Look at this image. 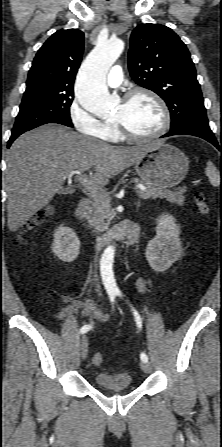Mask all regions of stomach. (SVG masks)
I'll return each instance as SVG.
<instances>
[{
	"label": "stomach",
	"mask_w": 222,
	"mask_h": 447,
	"mask_svg": "<svg viewBox=\"0 0 222 447\" xmlns=\"http://www.w3.org/2000/svg\"><path fill=\"white\" fill-rule=\"evenodd\" d=\"M134 168L143 182L171 188L184 179L189 161L175 146L158 142L147 146L145 153L135 162Z\"/></svg>",
	"instance_id": "1"
}]
</instances>
